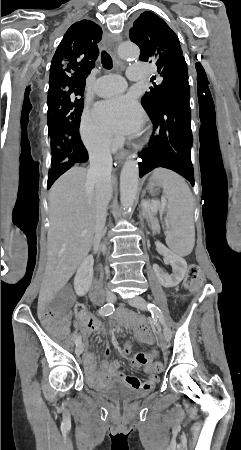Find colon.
Listing matches in <instances>:
<instances>
[{
  "label": "colon",
  "mask_w": 241,
  "mask_h": 450,
  "mask_svg": "<svg viewBox=\"0 0 241 450\" xmlns=\"http://www.w3.org/2000/svg\"><path fill=\"white\" fill-rule=\"evenodd\" d=\"M201 277V270L200 267L197 264H191L188 267V270L186 272L185 278H184V287L189 290H194L196 293H199L201 291L202 282L199 280ZM85 303L83 301H78L76 304V307L73 309L74 315L82 314L84 311ZM156 371L162 370V365L160 362L156 363L155 366Z\"/></svg>",
  "instance_id": "obj_1"
}]
</instances>
